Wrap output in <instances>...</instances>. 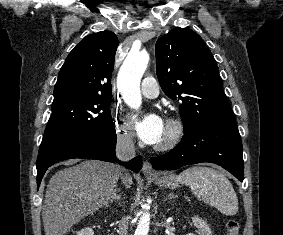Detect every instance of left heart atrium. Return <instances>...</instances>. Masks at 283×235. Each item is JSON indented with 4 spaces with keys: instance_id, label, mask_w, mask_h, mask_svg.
I'll return each mask as SVG.
<instances>
[{
    "instance_id": "left-heart-atrium-1",
    "label": "left heart atrium",
    "mask_w": 283,
    "mask_h": 235,
    "mask_svg": "<svg viewBox=\"0 0 283 235\" xmlns=\"http://www.w3.org/2000/svg\"><path fill=\"white\" fill-rule=\"evenodd\" d=\"M139 137L148 144H156L165 129L164 121L156 114L133 116Z\"/></svg>"
}]
</instances>
